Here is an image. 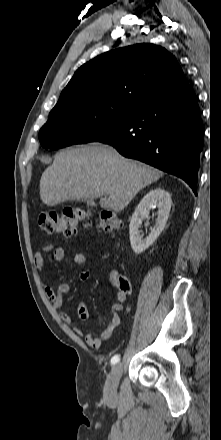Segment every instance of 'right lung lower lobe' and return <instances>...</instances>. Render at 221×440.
Masks as SVG:
<instances>
[{"instance_id":"98d812e1","label":"right lung lower lobe","mask_w":221,"mask_h":440,"mask_svg":"<svg viewBox=\"0 0 221 440\" xmlns=\"http://www.w3.org/2000/svg\"><path fill=\"white\" fill-rule=\"evenodd\" d=\"M97 141L183 179L196 195L203 140L200 110L190 85L141 104Z\"/></svg>"}]
</instances>
